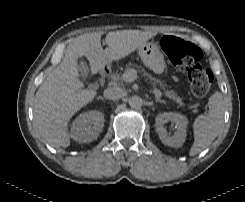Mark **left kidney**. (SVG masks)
Returning a JSON list of instances; mask_svg holds the SVG:
<instances>
[{"mask_svg":"<svg viewBox=\"0 0 245 202\" xmlns=\"http://www.w3.org/2000/svg\"><path fill=\"white\" fill-rule=\"evenodd\" d=\"M167 122H171L175 125L176 131L173 136H169L166 132L164 124ZM187 125L188 119L184 115L174 112H165L157 115L155 122L156 131L161 142L173 148H179L183 145L186 139Z\"/></svg>","mask_w":245,"mask_h":202,"instance_id":"left-kidney-1","label":"left kidney"}]
</instances>
